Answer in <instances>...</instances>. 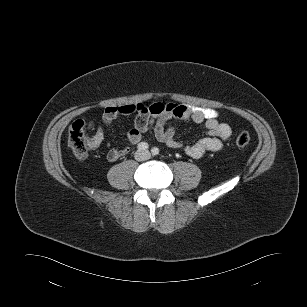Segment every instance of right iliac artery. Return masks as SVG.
I'll use <instances>...</instances> for the list:
<instances>
[{
    "mask_svg": "<svg viewBox=\"0 0 307 307\" xmlns=\"http://www.w3.org/2000/svg\"><path fill=\"white\" fill-rule=\"evenodd\" d=\"M149 145L146 142H141L140 144H138L137 148L139 150H146L148 149Z\"/></svg>",
    "mask_w": 307,
    "mask_h": 307,
    "instance_id": "right-iliac-artery-1",
    "label": "right iliac artery"
}]
</instances>
